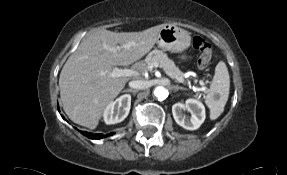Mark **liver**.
<instances>
[{"label":"liver","mask_w":287,"mask_h":175,"mask_svg":"<svg viewBox=\"0 0 287 175\" xmlns=\"http://www.w3.org/2000/svg\"><path fill=\"white\" fill-rule=\"evenodd\" d=\"M165 25L142 32L98 29L88 34L60 73V97L67 116L76 124L95 129L107 105L133 77H111L113 67L133 64L146 55ZM141 69L140 63L132 68L136 72Z\"/></svg>","instance_id":"liver-1"}]
</instances>
